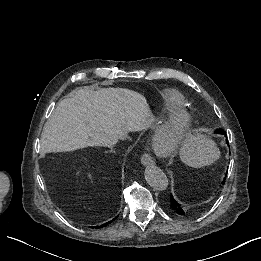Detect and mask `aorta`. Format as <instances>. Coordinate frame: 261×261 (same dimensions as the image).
<instances>
[{
  "instance_id": "aorta-1",
  "label": "aorta",
  "mask_w": 261,
  "mask_h": 261,
  "mask_svg": "<svg viewBox=\"0 0 261 261\" xmlns=\"http://www.w3.org/2000/svg\"><path fill=\"white\" fill-rule=\"evenodd\" d=\"M146 182L155 190L163 191L168 187V178L166 174L157 166L150 165L145 169Z\"/></svg>"
}]
</instances>
